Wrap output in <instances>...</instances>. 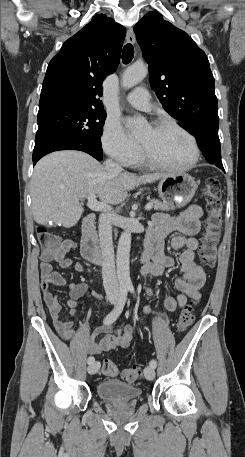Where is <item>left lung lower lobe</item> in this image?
Wrapping results in <instances>:
<instances>
[{"instance_id":"obj_1","label":"left lung lower lobe","mask_w":245,"mask_h":457,"mask_svg":"<svg viewBox=\"0 0 245 457\" xmlns=\"http://www.w3.org/2000/svg\"><path fill=\"white\" fill-rule=\"evenodd\" d=\"M218 123H207L199 126L200 130H194L189 133L193 134L198 142V146L202 151L207 162L215 164L224 171L221 161V148L218 136ZM225 172V171H224Z\"/></svg>"}]
</instances>
